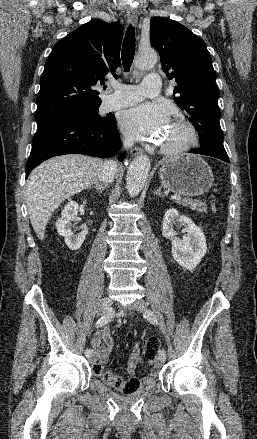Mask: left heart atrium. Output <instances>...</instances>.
Wrapping results in <instances>:
<instances>
[{
	"label": "left heart atrium",
	"instance_id": "1",
	"mask_svg": "<svg viewBox=\"0 0 257 439\" xmlns=\"http://www.w3.org/2000/svg\"><path fill=\"white\" fill-rule=\"evenodd\" d=\"M169 112L158 103H142L124 110L119 124L124 133L135 139L156 138L168 126Z\"/></svg>",
	"mask_w": 257,
	"mask_h": 439
}]
</instances>
